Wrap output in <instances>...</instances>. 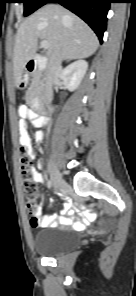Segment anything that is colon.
I'll return each instance as SVG.
<instances>
[{"instance_id":"obj_1","label":"colon","mask_w":136,"mask_h":296,"mask_svg":"<svg viewBox=\"0 0 136 296\" xmlns=\"http://www.w3.org/2000/svg\"><path fill=\"white\" fill-rule=\"evenodd\" d=\"M22 150L26 153L21 160L22 173V190L26 200V206L30 213L33 214L32 222H36L35 213L37 211L38 193L37 184L31 165L32 155L28 153V146L24 145Z\"/></svg>"}]
</instances>
